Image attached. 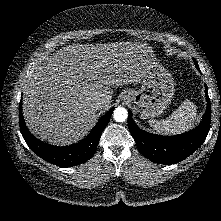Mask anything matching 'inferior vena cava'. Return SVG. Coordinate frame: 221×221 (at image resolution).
Returning a JSON list of instances; mask_svg holds the SVG:
<instances>
[{"label": "inferior vena cava", "instance_id": "1", "mask_svg": "<svg viewBox=\"0 0 221 221\" xmlns=\"http://www.w3.org/2000/svg\"><path fill=\"white\" fill-rule=\"evenodd\" d=\"M104 106V101L102 99H99L97 100L95 103H94V107L96 109H100Z\"/></svg>", "mask_w": 221, "mask_h": 221}]
</instances>
